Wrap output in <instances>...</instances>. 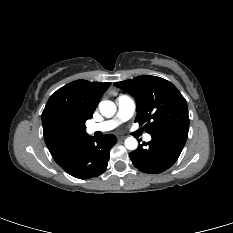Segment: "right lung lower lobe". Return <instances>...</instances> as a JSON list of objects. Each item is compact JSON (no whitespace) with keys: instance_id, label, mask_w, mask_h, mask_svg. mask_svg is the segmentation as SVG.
I'll return each mask as SVG.
<instances>
[{"instance_id":"obj_1","label":"right lung lower lobe","mask_w":233,"mask_h":233,"mask_svg":"<svg viewBox=\"0 0 233 233\" xmlns=\"http://www.w3.org/2000/svg\"><path fill=\"white\" fill-rule=\"evenodd\" d=\"M115 143L116 137L113 134L100 138L89 136L55 161L73 177H96L106 170L109 152Z\"/></svg>"}]
</instances>
